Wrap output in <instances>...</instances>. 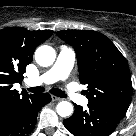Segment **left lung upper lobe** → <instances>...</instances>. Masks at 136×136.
Listing matches in <instances>:
<instances>
[{
	"mask_svg": "<svg viewBox=\"0 0 136 136\" xmlns=\"http://www.w3.org/2000/svg\"><path fill=\"white\" fill-rule=\"evenodd\" d=\"M76 51L80 81L87 85L89 103L127 111L132 95L128 64L105 35L90 30L59 31Z\"/></svg>",
	"mask_w": 136,
	"mask_h": 136,
	"instance_id": "1",
	"label": "left lung upper lobe"
}]
</instances>
